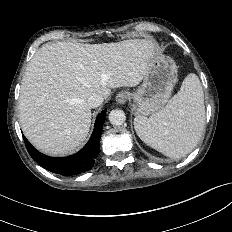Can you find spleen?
<instances>
[{"mask_svg": "<svg viewBox=\"0 0 232 232\" xmlns=\"http://www.w3.org/2000/svg\"><path fill=\"white\" fill-rule=\"evenodd\" d=\"M205 124L204 95L197 75L188 74L168 104L149 118L137 116L134 127L148 146L170 158L190 153Z\"/></svg>", "mask_w": 232, "mask_h": 232, "instance_id": "1", "label": "spleen"}]
</instances>
